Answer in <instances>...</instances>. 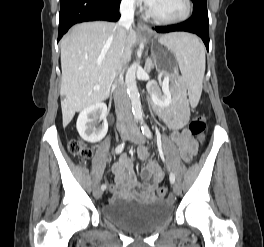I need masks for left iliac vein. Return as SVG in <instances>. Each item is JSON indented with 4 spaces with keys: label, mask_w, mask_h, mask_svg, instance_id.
<instances>
[{
    "label": "left iliac vein",
    "mask_w": 264,
    "mask_h": 247,
    "mask_svg": "<svg viewBox=\"0 0 264 247\" xmlns=\"http://www.w3.org/2000/svg\"><path fill=\"white\" fill-rule=\"evenodd\" d=\"M130 140L137 144H142L144 142V137L139 129H134L130 135ZM173 192L176 195L181 193V188L178 183L173 185Z\"/></svg>",
    "instance_id": "4c4485c4"
}]
</instances>
